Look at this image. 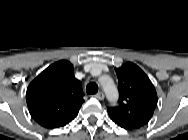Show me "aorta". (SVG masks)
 <instances>
[{
    "label": "aorta",
    "mask_w": 188,
    "mask_h": 140,
    "mask_svg": "<svg viewBox=\"0 0 188 140\" xmlns=\"http://www.w3.org/2000/svg\"><path fill=\"white\" fill-rule=\"evenodd\" d=\"M100 84L106 94L109 102L116 103L118 100V90L113 80L109 76H103L100 79Z\"/></svg>",
    "instance_id": "obj_1"
}]
</instances>
